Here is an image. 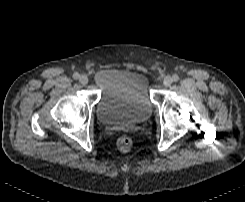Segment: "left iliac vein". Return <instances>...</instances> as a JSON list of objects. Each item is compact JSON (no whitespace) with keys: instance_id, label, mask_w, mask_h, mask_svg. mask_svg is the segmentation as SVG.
I'll list each match as a JSON object with an SVG mask.
<instances>
[{"instance_id":"1","label":"left iliac vein","mask_w":245,"mask_h":202,"mask_svg":"<svg viewBox=\"0 0 245 202\" xmlns=\"http://www.w3.org/2000/svg\"><path fill=\"white\" fill-rule=\"evenodd\" d=\"M173 80L170 76H166L163 80V84L168 87L172 84Z\"/></svg>"}]
</instances>
